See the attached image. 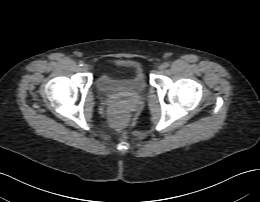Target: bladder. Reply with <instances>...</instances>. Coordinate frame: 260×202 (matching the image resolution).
I'll return each instance as SVG.
<instances>
[{"label":"bladder","mask_w":260,"mask_h":202,"mask_svg":"<svg viewBox=\"0 0 260 202\" xmlns=\"http://www.w3.org/2000/svg\"><path fill=\"white\" fill-rule=\"evenodd\" d=\"M133 69L127 77H117L109 71L101 72L96 79L97 89L103 93L124 92L132 95H142L147 90V81L140 65L128 63Z\"/></svg>","instance_id":"1"}]
</instances>
